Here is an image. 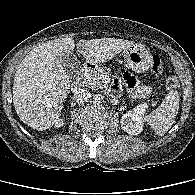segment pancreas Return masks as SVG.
<instances>
[{
	"instance_id": "obj_1",
	"label": "pancreas",
	"mask_w": 195,
	"mask_h": 195,
	"mask_svg": "<svg viewBox=\"0 0 195 195\" xmlns=\"http://www.w3.org/2000/svg\"><path fill=\"white\" fill-rule=\"evenodd\" d=\"M109 69L98 68L90 73H86L81 78V84L89 89L96 90L103 87L101 83L102 76L107 74Z\"/></svg>"
}]
</instances>
